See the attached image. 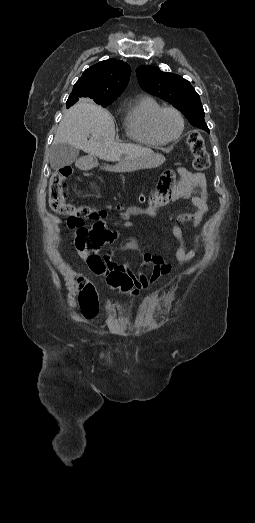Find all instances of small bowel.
<instances>
[{"label": "small bowel", "instance_id": "small-bowel-1", "mask_svg": "<svg viewBox=\"0 0 255 523\" xmlns=\"http://www.w3.org/2000/svg\"><path fill=\"white\" fill-rule=\"evenodd\" d=\"M178 172L181 181L175 188L172 190H169L167 187L162 188L157 195L151 197L149 206L144 209L134 207L122 213L120 215L119 227L122 229L133 228L134 223L131 222V217L141 214L155 216L157 211L170 201L177 199L188 200L191 204V212L181 214L177 218V222L173 223L171 227L172 234L178 242L175 251L176 268H181L195 257L197 249L186 250L183 232L178 223L193 222L197 226L208 212V193L206 178L203 173L190 172L184 168L179 169ZM170 178L171 175L168 174L164 176L163 181L170 180ZM196 188L200 189L199 194L194 193ZM67 227L71 231V243L74 245L78 255L90 270L97 275H104L108 272L123 273L132 278L138 288H147L158 280L169 276L173 271L172 266L164 261L161 254H141V266H152L150 277H147L141 270L134 274L128 265L115 263L110 254L102 255L103 246L113 244L119 235L118 232L107 227L104 219L95 221L91 226L76 224L68 219ZM128 248L137 249L136 242L133 239L120 242L116 246V250L119 251Z\"/></svg>", "mask_w": 255, "mask_h": 523}]
</instances>
